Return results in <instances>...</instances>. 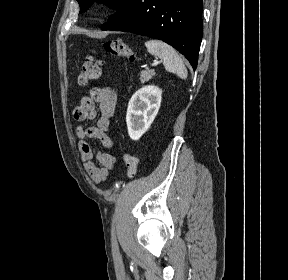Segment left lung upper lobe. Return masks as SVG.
Instances as JSON below:
<instances>
[{"label": "left lung upper lobe", "instance_id": "obj_1", "mask_svg": "<svg viewBox=\"0 0 288 280\" xmlns=\"http://www.w3.org/2000/svg\"><path fill=\"white\" fill-rule=\"evenodd\" d=\"M77 1L80 5V13L86 11L93 4L94 1L106 4L108 5L109 8L116 10V13L110 16V19H114L123 14L128 5L133 0H77Z\"/></svg>", "mask_w": 288, "mask_h": 280}]
</instances>
